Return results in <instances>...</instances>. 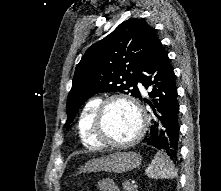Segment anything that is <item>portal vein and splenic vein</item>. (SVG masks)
I'll return each mask as SVG.
<instances>
[{
    "instance_id": "portal-vein-and-splenic-vein-1",
    "label": "portal vein and splenic vein",
    "mask_w": 221,
    "mask_h": 191,
    "mask_svg": "<svg viewBox=\"0 0 221 191\" xmlns=\"http://www.w3.org/2000/svg\"><path fill=\"white\" fill-rule=\"evenodd\" d=\"M132 183L134 184V187H135V188H138V185H137V184H135V182H134V181H132Z\"/></svg>"
}]
</instances>
